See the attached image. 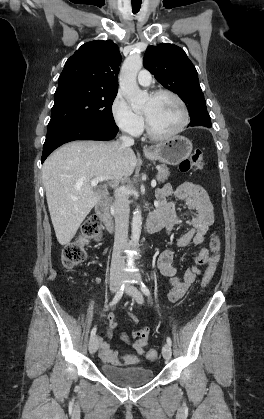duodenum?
<instances>
[{
	"mask_svg": "<svg viewBox=\"0 0 264 419\" xmlns=\"http://www.w3.org/2000/svg\"><path fill=\"white\" fill-rule=\"evenodd\" d=\"M111 201V198H105L101 200L96 207L98 216L101 218L109 232L114 231V220L110 212ZM163 226L164 219L156 213L151 215L145 223V227L150 233L158 231Z\"/></svg>",
	"mask_w": 264,
	"mask_h": 419,
	"instance_id": "obj_1",
	"label": "duodenum"
}]
</instances>
